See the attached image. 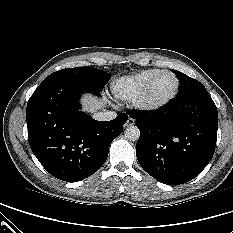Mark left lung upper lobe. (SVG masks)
<instances>
[{
  "label": "left lung upper lobe",
  "mask_w": 233,
  "mask_h": 233,
  "mask_svg": "<svg viewBox=\"0 0 233 233\" xmlns=\"http://www.w3.org/2000/svg\"><path fill=\"white\" fill-rule=\"evenodd\" d=\"M179 79L180 82V94L179 96L185 95L195 89H204L205 87L203 86L202 83L199 81L183 74L182 72H179L177 70H171Z\"/></svg>",
  "instance_id": "obj_1"
}]
</instances>
